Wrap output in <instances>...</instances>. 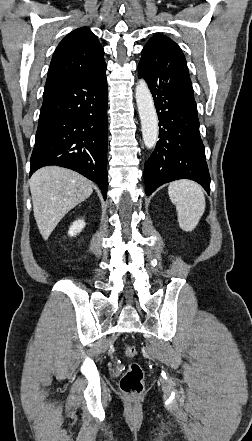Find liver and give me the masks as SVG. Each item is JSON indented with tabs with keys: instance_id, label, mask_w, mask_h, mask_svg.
I'll return each instance as SVG.
<instances>
[{
	"instance_id": "6515ba94",
	"label": "liver",
	"mask_w": 252,
	"mask_h": 441,
	"mask_svg": "<svg viewBox=\"0 0 252 441\" xmlns=\"http://www.w3.org/2000/svg\"><path fill=\"white\" fill-rule=\"evenodd\" d=\"M33 212L39 232L48 239L60 220L93 192L92 183L70 169L47 166L30 179Z\"/></svg>"
}]
</instances>
